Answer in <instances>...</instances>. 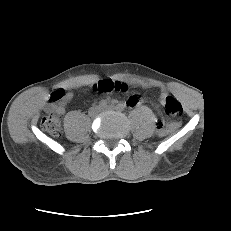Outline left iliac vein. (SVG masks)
I'll return each mask as SVG.
<instances>
[{
	"mask_svg": "<svg viewBox=\"0 0 231 231\" xmlns=\"http://www.w3.org/2000/svg\"><path fill=\"white\" fill-rule=\"evenodd\" d=\"M114 109H116V108L112 105L103 108V110H114Z\"/></svg>",
	"mask_w": 231,
	"mask_h": 231,
	"instance_id": "left-iliac-vein-1",
	"label": "left iliac vein"
}]
</instances>
